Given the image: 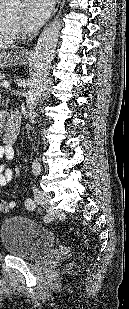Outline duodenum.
<instances>
[{
  "label": "duodenum",
  "instance_id": "410a0bca",
  "mask_svg": "<svg viewBox=\"0 0 129 309\" xmlns=\"http://www.w3.org/2000/svg\"><path fill=\"white\" fill-rule=\"evenodd\" d=\"M18 129H19L18 117L15 114H11L8 117L7 129L4 134V140L7 145L11 146L15 142Z\"/></svg>",
  "mask_w": 129,
  "mask_h": 309
}]
</instances>
